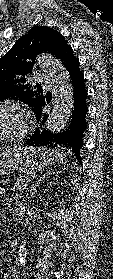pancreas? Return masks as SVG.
<instances>
[{"mask_svg":"<svg viewBox=\"0 0 113 279\" xmlns=\"http://www.w3.org/2000/svg\"><path fill=\"white\" fill-rule=\"evenodd\" d=\"M36 173L34 172H27L24 173L20 178H17L15 181V184L13 185L12 189L13 190H18V191H23L26 189L28 184L36 178Z\"/></svg>","mask_w":113,"mask_h":279,"instance_id":"1","label":"pancreas"}]
</instances>
